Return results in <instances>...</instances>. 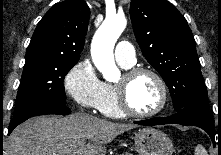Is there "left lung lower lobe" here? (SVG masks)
<instances>
[{"label": "left lung lower lobe", "mask_w": 221, "mask_h": 155, "mask_svg": "<svg viewBox=\"0 0 221 155\" xmlns=\"http://www.w3.org/2000/svg\"><path fill=\"white\" fill-rule=\"evenodd\" d=\"M139 125H164V124H181L193 125L205 130L211 137L213 143L214 139V120L209 112V105L207 99L194 101L184 108L180 109L176 114L169 117L151 118L135 122Z\"/></svg>", "instance_id": "obj_1"}]
</instances>
